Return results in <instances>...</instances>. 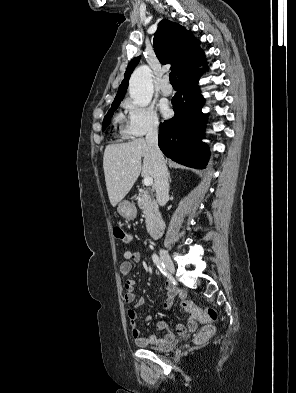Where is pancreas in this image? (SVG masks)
<instances>
[{
  "label": "pancreas",
  "mask_w": 296,
  "mask_h": 393,
  "mask_svg": "<svg viewBox=\"0 0 296 393\" xmlns=\"http://www.w3.org/2000/svg\"><path fill=\"white\" fill-rule=\"evenodd\" d=\"M138 206L143 211L147 231L150 232L159 216L157 203L147 192H143L138 198Z\"/></svg>",
  "instance_id": "1"
}]
</instances>
